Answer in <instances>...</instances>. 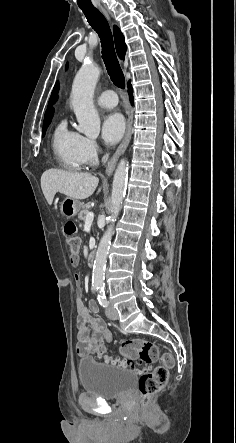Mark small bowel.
<instances>
[{
	"label": "small bowel",
	"mask_w": 236,
	"mask_h": 443,
	"mask_svg": "<svg viewBox=\"0 0 236 443\" xmlns=\"http://www.w3.org/2000/svg\"><path fill=\"white\" fill-rule=\"evenodd\" d=\"M76 284L79 285L81 278L75 275ZM98 306L94 301L87 305L82 300V290L78 287L76 290V328H77V353L85 356L90 353L93 347L100 342H112V334L105 327L100 318L91 316V313H97ZM91 329V331H90Z\"/></svg>",
	"instance_id": "c3829d8e"
}]
</instances>
